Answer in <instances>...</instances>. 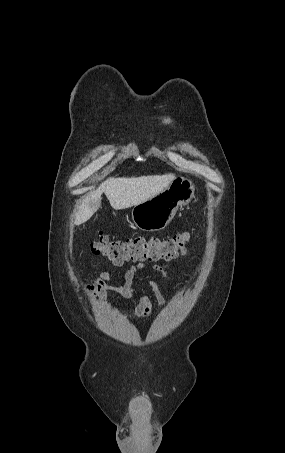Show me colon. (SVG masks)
<instances>
[{
    "label": "colon",
    "mask_w": 285,
    "mask_h": 453,
    "mask_svg": "<svg viewBox=\"0 0 285 453\" xmlns=\"http://www.w3.org/2000/svg\"><path fill=\"white\" fill-rule=\"evenodd\" d=\"M190 238L189 232H182L168 238L139 236L111 240L100 232L91 242V250L96 255L106 256L115 264L126 261L172 260L187 252Z\"/></svg>",
    "instance_id": "obj_1"
}]
</instances>
